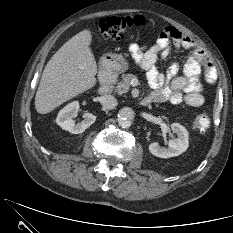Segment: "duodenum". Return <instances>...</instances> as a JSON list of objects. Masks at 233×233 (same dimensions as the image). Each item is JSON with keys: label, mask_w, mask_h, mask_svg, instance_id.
<instances>
[{"label": "duodenum", "mask_w": 233, "mask_h": 233, "mask_svg": "<svg viewBox=\"0 0 233 233\" xmlns=\"http://www.w3.org/2000/svg\"><path fill=\"white\" fill-rule=\"evenodd\" d=\"M116 78V69L113 65V62L111 60H106L102 63L100 72H99V80L100 85L98 88V92L101 95L108 94L111 89L113 82ZM150 103V100L148 98H144L140 101V104L142 106H147Z\"/></svg>", "instance_id": "obj_1"}]
</instances>
